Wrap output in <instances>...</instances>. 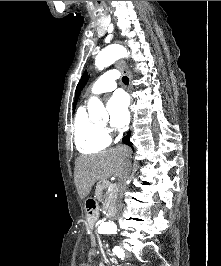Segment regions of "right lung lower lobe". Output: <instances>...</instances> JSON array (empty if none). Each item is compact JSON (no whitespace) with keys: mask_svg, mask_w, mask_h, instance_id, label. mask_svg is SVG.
Here are the masks:
<instances>
[{"mask_svg":"<svg viewBox=\"0 0 221 266\" xmlns=\"http://www.w3.org/2000/svg\"><path fill=\"white\" fill-rule=\"evenodd\" d=\"M130 135H131L130 132H128L127 135L123 138V143L129 146H131Z\"/></svg>","mask_w":221,"mask_h":266,"instance_id":"98d812e1","label":"right lung lower lobe"}]
</instances>
